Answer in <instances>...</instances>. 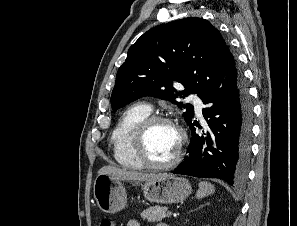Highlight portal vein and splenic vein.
<instances>
[{
    "mask_svg": "<svg viewBox=\"0 0 297 226\" xmlns=\"http://www.w3.org/2000/svg\"><path fill=\"white\" fill-rule=\"evenodd\" d=\"M167 213H168V215H170V216L173 214L172 211H168Z\"/></svg>",
    "mask_w": 297,
    "mask_h": 226,
    "instance_id": "obj_1",
    "label": "portal vein and splenic vein"
}]
</instances>
